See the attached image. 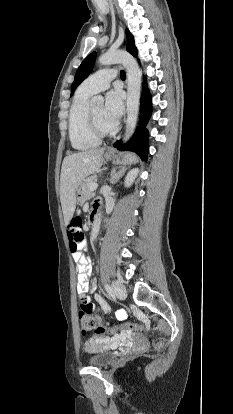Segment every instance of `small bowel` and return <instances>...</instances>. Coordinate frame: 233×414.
<instances>
[{"label":"small bowel","mask_w":233,"mask_h":414,"mask_svg":"<svg viewBox=\"0 0 233 414\" xmlns=\"http://www.w3.org/2000/svg\"><path fill=\"white\" fill-rule=\"evenodd\" d=\"M81 251L82 252L88 251V248L85 247V244H82ZM82 252H72L73 258L75 260L73 265L77 269V273H78L77 292L81 298H87L89 300V298L87 297V293L90 290L95 292L96 285L90 284L89 282L92 267H91L90 261L86 257L83 256ZM95 298L99 302V304L101 305V308L104 311L113 310V305L112 304L106 305L104 300L99 295L95 294ZM115 317L118 320H123L126 317V312L124 310H118L115 313Z\"/></svg>","instance_id":"obj_1"}]
</instances>
